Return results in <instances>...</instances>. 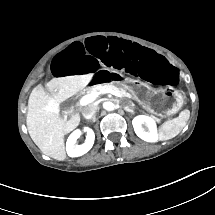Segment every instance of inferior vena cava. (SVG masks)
<instances>
[{"label":"inferior vena cava","mask_w":215,"mask_h":215,"mask_svg":"<svg viewBox=\"0 0 215 215\" xmlns=\"http://www.w3.org/2000/svg\"><path fill=\"white\" fill-rule=\"evenodd\" d=\"M96 111H97L96 105L93 104L86 105L82 109V115L85 119L91 120L94 118Z\"/></svg>","instance_id":"602c4592"}]
</instances>
